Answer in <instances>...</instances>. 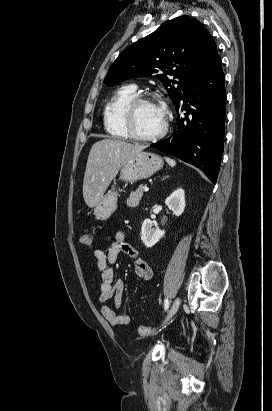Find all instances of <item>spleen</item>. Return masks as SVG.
Returning <instances> with one entry per match:
<instances>
[{
	"instance_id": "obj_1",
	"label": "spleen",
	"mask_w": 272,
	"mask_h": 411,
	"mask_svg": "<svg viewBox=\"0 0 272 411\" xmlns=\"http://www.w3.org/2000/svg\"><path fill=\"white\" fill-rule=\"evenodd\" d=\"M165 160L170 166H175L176 165V161L174 159H171L169 157H165Z\"/></svg>"
}]
</instances>
